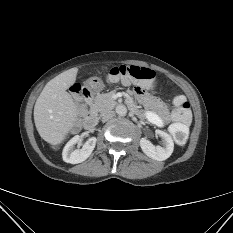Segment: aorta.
Instances as JSON below:
<instances>
[{
	"label": "aorta",
	"instance_id": "aorta-1",
	"mask_svg": "<svg viewBox=\"0 0 233 233\" xmlns=\"http://www.w3.org/2000/svg\"><path fill=\"white\" fill-rule=\"evenodd\" d=\"M116 113L120 116H125L127 114V108L124 105H118L116 107Z\"/></svg>",
	"mask_w": 233,
	"mask_h": 233
}]
</instances>
